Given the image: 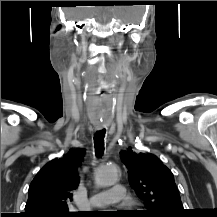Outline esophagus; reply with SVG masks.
<instances>
[{"instance_id":"34e87169","label":"esophagus","mask_w":217,"mask_h":217,"mask_svg":"<svg viewBox=\"0 0 217 217\" xmlns=\"http://www.w3.org/2000/svg\"><path fill=\"white\" fill-rule=\"evenodd\" d=\"M97 129H102V127H101V126H98Z\"/></svg>"}]
</instances>
